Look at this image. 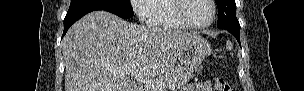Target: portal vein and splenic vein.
I'll use <instances>...</instances> for the list:
<instances>
[{"label": "portal vein and splenic vein", "instance_id": "portal-vein-and-splenic-vein-1", "mask_svg": "<svg viewBox=\"0 0 304 91\" xmlns=\"http://www.w3.org/2000/svg\"><path fill=\"white\" fill-rule=\"evenodd\" d=\"M114 74L116 75H131L133 76L138 82L141 84H145L147 87L154 89L155 91H162L163 89L166 88V83L163 81H160L158 79H149V78H144V76L140 73H137L133 70L132 67H121L118 70L114 71ZM173 90L175 89L173 86H170Z\"/></svg>", "mask_w": 304, "mask_h": 91}]
</instances>
